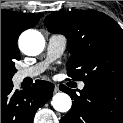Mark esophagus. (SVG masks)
<instances>
[{"label": "esophagus", "instance_id": "obj_1", "mask_svg": "<svg viewBox=\"0 0 123 123\" xmlns=\"http://www.w3.org/2000/svg\"><path fill=\"white\" fill-rule=\"evenodd\" d=\"M59 91V86L58 85H55L54 86V93H57Z\"/></svg>", "mask_w": 123, "mask_h": 123}]
</instances>
